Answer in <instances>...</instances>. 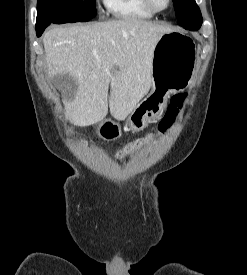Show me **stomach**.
I'll return each instance as SVG.
<instances>
[{
  "instance_id": "1",
  "label": "stomach",
  "mask_w": 247,
  "mask_h": 275,
  "mask_svg": "<svg viewBox=\"0 0 247 275\" xmlns=\"http://www.w3.org/2000/svg\"><path fill=\"white\" fill-rule=\"evenodd\" d=\"M196 69V52L193 40L177 32L163 34L155 44L151 91L130 113L127 124L135 131L142 130L165 108L170 94L183 91L192 82ZM98 135L115 140L121 135L119 126L112 121L102 122Z\"/></svg>"
}]
</instances>
